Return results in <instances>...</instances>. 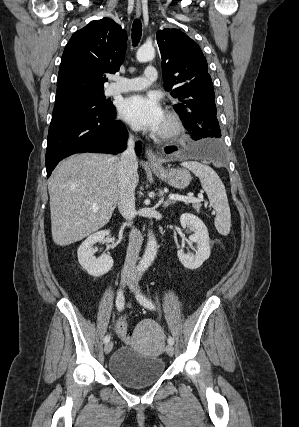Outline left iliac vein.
Returning <instances> with one entry per match:
<instances>
[{
  "label": "left iliac vein",
  "mask_w": 299,
  "mask_h": 427,
  "mask_svg": "<svg viewBox=\"0 0 299 427\" xmlns=\"http://www.w3.org/2000/svg\"><path fill=\"white\" fill-rule=\"evenodd\" d=\"M128 285H129V287H130V289L132 291H135V286H134V283H133V281H132L131 278L128 279ZM166 352H167V354L169 356H173V354H174V347L171 344H168L166 346Z\"/></svg>",
  "instance_id": "1"
}]
</instances>
